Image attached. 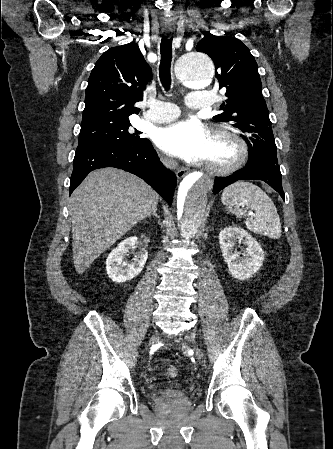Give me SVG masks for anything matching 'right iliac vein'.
Here are the masks:
<instances>
[{"mask_svg":"<svg viewBox=\"0 0 333 449\" xmlns=\"http://www.w3.org/2000/svg\"><path fill=\"white\" fill-rule=\"evenodd\" d=\"M157 340H158V333L156 332V333L153 334V336H152V338H151V341H152V342H155V341H157Z\"/></svg>","mask_w":333,"mask_h":449,"instance_id":"63e3f726","label":"right iliac vein"}]
</instances>
